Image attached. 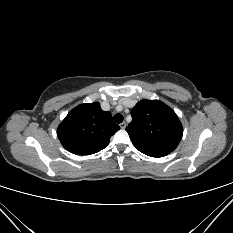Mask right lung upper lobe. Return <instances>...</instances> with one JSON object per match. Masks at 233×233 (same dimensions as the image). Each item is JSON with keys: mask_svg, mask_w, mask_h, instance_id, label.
<instances>
[{"mask_svg": "<svg viewBox=\"0 0 233 233\" xmlns=\"http://www.w3.org/2000/svg\"><path fill=\"white\" fill-rule=\"evenodd\" d=\"M120 127L99 103L81 104L71 110L59 125L57 135L66 150L90 155L104 149Z\"/></svg>", "mask_w": 233, "mask_h": 233, "instance_id": "obj_1", "label": "right lung upper lobe"}]
</instances>
